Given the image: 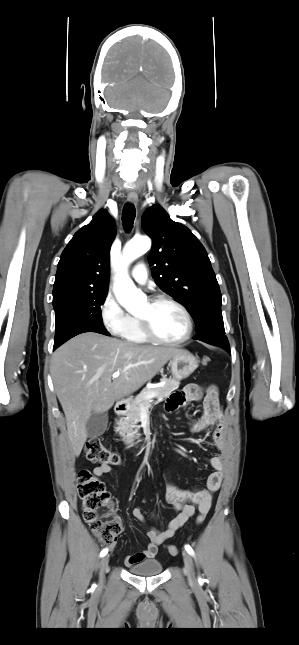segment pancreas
I'll use <instances>...</instances> for the list:
<instances>
[{
    "label": "pancreas",
    "instance_id": "obj_1",
    "mask_svg": "<svg viewBox=\"0 0 299 645\" xmlns=\"http://www.w3.org/2000/svg\"><path fill=\"white\" fill-rule=\"evenodd\" d=\"M165 384L157 388H144L135 399H130V407L125 417H121L117 421L116 432L122 437V440L125 444H131L136 439L140 437L138 433L139 428L138 424L141 420V410L144 408L146 411L152 405V398L147 399L146 396L151 393H156L154 396L158 401H162L164 398L168 397L172 391L176 390L180 382L177 379H161Z\"/></svg>",
    "mask_w": 299,
    "mask_h": 645
}]
</instances>
